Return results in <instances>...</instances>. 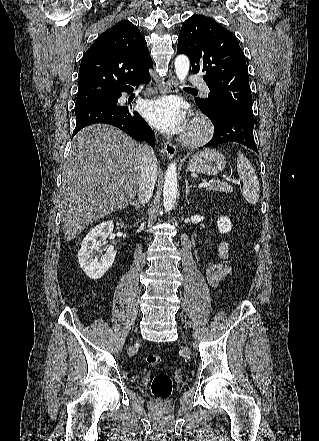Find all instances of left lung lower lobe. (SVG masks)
I'll return each mask as SVG.
<instances>
[{
    "label": "left lung lower lobe",
    "mask_w": 319,
    "mask_h": 441,
    "mask_svg": "<svg viewBox=\"0 0 319 441\" xmlns=\"http://www.w3.org/2000/svg\"><path fill=\"white\" fill-rule=\"evenodd\" d=\"M199 108L210 118L214 125V136L205 146L237 142L258 152L253 137L254 118L231 109L211 113L201 107Z\"/></svg>",
    "instance_id": "1"
}]
</instances>
